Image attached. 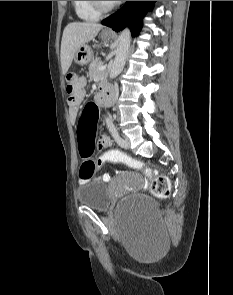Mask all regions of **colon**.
<instances>
[{
    "label": "colon",
    "mask_w": 233,
    "mask_h": 295,
    "mask_svg": "<svg viewBox=\"0 0 233 295\" xmlns=\"http://www.w3.org/2000/svg\"><path fill=\"white\" fill-rule=\"evenodd\" d=\"M66 90L69 98H76L84 93L85 80L74 72L66 75ZM97 115L91 111H84L78 124L79 150L83 162L80 166L79 176L82 180H88L94 176L98 168L108 164H124L136 170H143L147 176H151V170L146 168L140 160L134 159L126 153L111 149L101 155L98 159H93L95 149ZM154 197L165 199L170 194V181L166 176L154 178L150 186Z\"/></svg>",
    "instance_id": "obj_1"
}]
</instances>
